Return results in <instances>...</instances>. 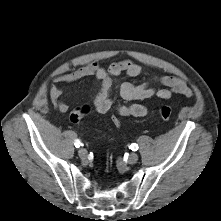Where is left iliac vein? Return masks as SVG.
I'll list each match as a JSON object with an SVG mask.
<instances>
[{
	"label": "left iliac vein",
	"mask_w": 221,
	"mask_h": 221,
	"mask_svg": "<svg viewBox=\"0 0 221 221\" xmlns=\"http://www.w3.org/2000/svg\"><path fill=\"white\" fill-rule=\"evenodd\" d=\"M138 155L136 153H132L128 158L129 164H135L138 161Z\"/></svg>",
	"instance_id": "4c4485c4"
}]
</instances>
